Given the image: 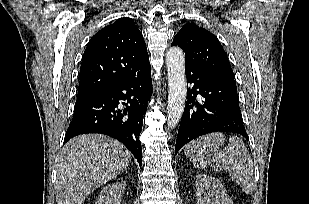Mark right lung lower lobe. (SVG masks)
<instances>
[{"label": "right lung lower lobe", "mask_w": 309, "mask_h": 204, "mask_svg": "<svg viewBox=\"0 0 309 204\" xmlns=\"http://www.w3.org/2000/svg\"><path fill=\"white\" fill-rule=\"evenodd\" d=\"M150 76L151 68L132 79L77 99L64 143L80 134L109 135L122 142L141 164L139 135L147 102L152 95ZM122 101H127L123 105L129 104L123 111L118 108Z\"/></svg>", "instance_id": "right-lung-lower-lobe-1"}]
</instances>
